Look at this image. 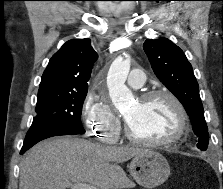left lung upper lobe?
Instances as JSON below:
<instances>
[{"label": "left lung upper lobe", "instance_id": "left-lung-upper-lobe-1", "mask_svg": "<svg viewBox=\"0 0 223 189\" xmlns=\"http://www.w3.org/2000/svg\"><path fill=\"white\" fill-rule=\"evenodd\" d=\"M143 49L158 79L182 103L195 134L197 147L205 151L209 142L208 127L199 95V87L183 51L167 38L147 39Z\"/></svg>", "mask_w": 223, "mask_h": 189}]
</instances>
